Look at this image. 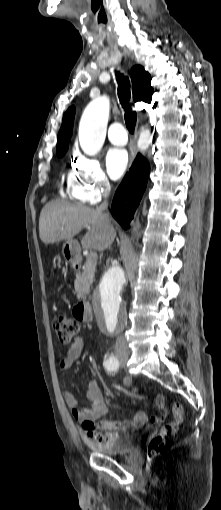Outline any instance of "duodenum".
<instances>
[{
  "label": "duodenum",
  "instance_id": "1",
  "mask_svg": "<svg viewBox=\"0 0 221 510\" xmlns=\"http://www.w3.org/2000/svg\"><path fill=\"white\" fill-rule=\"evenodd\" d=\"M75 266L78 267L79 263L75 262ZM75 312H76L77 316L85 322L92 320V314L90 311V307H89V304L86 302H79L77 304V306L75 307Z\"/></svg>",
  "mask_w": 221,
  "mask_h": 510
}]
</instances>
